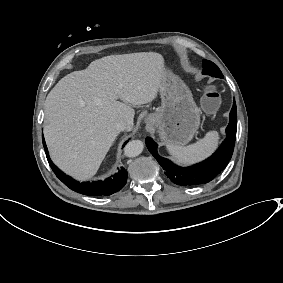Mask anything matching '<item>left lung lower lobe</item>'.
Returning a JSON list of instances; mask_svg holds the SVG:
<instances>
[{
    "mask_svg": "<svg viewBox=\"0 0 283 283\" xmlns=\"http://www.w3.org/2000/svg\"><path fill=\"white\" fill-rule=\"evenodd\" d=\"M236 130L237 109L234 101L230 112V122L226 128L227 137L219 149L205 161L186 168L179 167L159 156L157 144L150 137L146 138V145L173 183L181 186L199 185L210 182L226 167L234 150Z\"/></svg>",
    "mask_w": 283,
    "mask_h": 283,
    "instance_id": "1",
    "label": "left lung lower lobe"
}]
</instances>
